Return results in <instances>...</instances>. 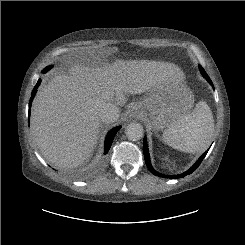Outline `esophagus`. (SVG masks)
<instances>
[{"label":"esophagus","instance_id":"1","mask_svg":"<svg viewBox=\"0 0 245 245\" xmlns=\"http://www.w3.org/2000/svg\"><path fill=\"white\" fill-rule=\"evenodd\" d=\"M140 113V106L138 104L131 105L129 109V117L131 119H135L139 116Z\"/></svg>","mask_w":245,"mask_h":245}]
</instances>
